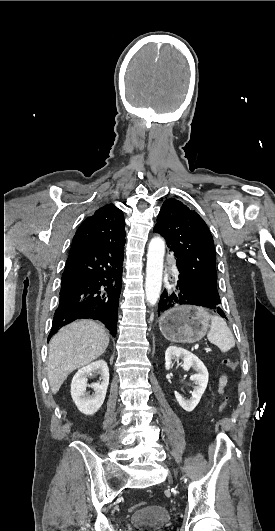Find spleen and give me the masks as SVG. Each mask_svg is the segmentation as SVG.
<instances>
[{"mask_svg": "<svg viewBox=\"0 0 275 531\" xmlns=\"http://www.w3.org/2000/svg\"><path fill=\"white\" fill-rule=\"evenodd\" d=\"M210 319V331H208L207 339L213 345H217L222 353H227L229 349L235 347L234 337L227 327L225 319L218 317V315H211Z\"/></svg>", "mask_w": 275, "mask_h": 531, "instance_id": "3e777b00", "label": "spleen"}]
</instances>
